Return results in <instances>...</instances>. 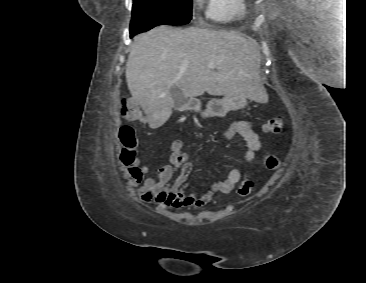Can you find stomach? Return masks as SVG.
Here are the masks:
<instances>
[{"label":"stomach","instance_id":"1","mask_svg":"<svg viewBox=\"0 0 366 283\" xmlns=\"http://www.w3.org/2000/svg\"><path fill=\"white\" fill-rule=\"evenodd\" d=\"M248 97L239 96L236 94L225 95L222 99L210 100L204 111L201 110V104L197 101L193 103H184L182 108L193 109L200 112L203 118L207 117H224L228 111L245 107L248 103Z\"/></svg>","mask_w":366,"mask_h":283}]
</instances>
